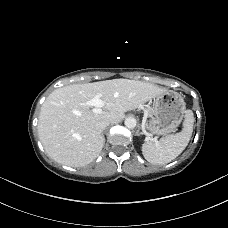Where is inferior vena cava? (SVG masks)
Returning a JSON list of instances; mask_svg holds the SVG:
<instances>
[{
    "label": "inferior vena cava",
    "instance_id": "602c4592",
    "mask_svg": "<svg viewBox=\"0 0 228 228\" xmlns=\"http://www.w3.org/2000/svg\"><path fill=\"white\" fill-rule=\"evenodd\" d=\"M110 124V121L106 120V121H100L98 123H96L95 128L102 132L108 125Z\"/></svg>",
    "mask_w": 228,
    "mask_h": 228
}]
</instances>
